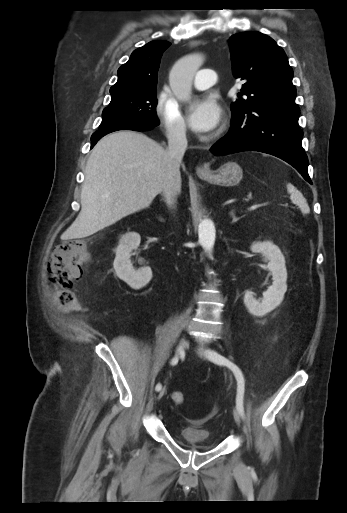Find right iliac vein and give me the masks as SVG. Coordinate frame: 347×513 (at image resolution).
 <instances>
[{
	"instance_id": "obj_1",
	"label": "right iliac vein",
	"mask_w": 347,
	"mask_h": 513,
	"mask_svg": "<svg viewBox=\"0 0 347 513\" xmlns=\"http://www.w3.org/2000/svg\"><path fill=\"white\" fill-rule=\"evenodd\" d=\"M188 346V339L184 336L180 341V350L184 351L186 347ZM166 393L165 387L161 389V391L158 394V399H161Z\"/></svg>"
}]
</instances>
